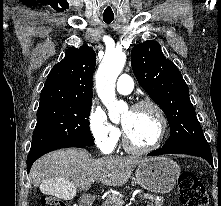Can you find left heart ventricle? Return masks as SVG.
Instances as JSON below:
<instances>
[{
    "label": "left heart ventricle",
    "mask_w": 221,
    "mask_h": 206,
    "mask_svg": "<svg viewBox=\"0 0 221 206\" xmlns=\"http://www.w3.org/2000/svg\"><path fill=\"white\" fill-rule=\"evenodd\" d=\"M121 122L131 143L136 147L148 146L157 137L159 121L151 108L126 111Z\"/></svg>",
    "instance_id": "obj_1"
}]
</instances>
